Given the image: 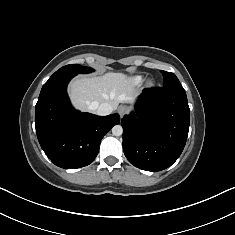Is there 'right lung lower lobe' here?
I'll use <instances>...</instances> for the list:
<instances>
[{
  "label": "right lung lower lobe",
  "mask_w": 235,
  "mask_h": 235,
  "mask_svg": "<svg viewBox=\"0 0 235 235\" xmlns=\"http://www.w3.org/2000/svg\"><path fill=\"white\" fill-rule=\"evenodd\" d=\"M75 74L51 76L35 107L38 141L51 161L65 169L89 165L104 135L120 121L119 114L97 116L74 110L67 85Z\"/></svg>",
  "instance_id": "obj_1"
}]
</instances>
